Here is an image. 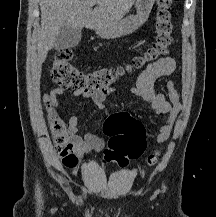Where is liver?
Listing matches in <instances>:
<instances>
[{
  "mask_svg": "<svg viewBox=\"0 0 216 217\" xmlns=\"http://www.w3.org/2000/svg\"><path fill=\"white\" fill-rule=\"evenodd\" d=\"M136 0H40L38 61L42 64L62 27L100 29L121 21ZM97 6L92 9L93 5Z\"/></svg>",
  "mask_w": 216,
  "mask_h": 217,
  "instance_id": "liver-1",
  "label": "liver"
}]
</instances>
